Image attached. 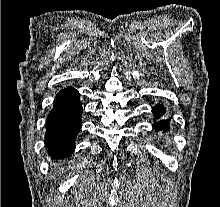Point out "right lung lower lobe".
Returning <instances> with one entry per match:
<instances>
[{
    "label": "right lung lower lobe",
    "instance_id": "right-lung-lower-lobe-1",
    "mask_svg": "<svg viewBox=\"0 0 220 207\" xmlns=\"http://www.w3.org/2000/svg\"><path fill=\"white\" fill-rule=\"evenodd\" d=\"M80 94L73 87L62 89L56 96L46 122L45 143L53 159L70 156L81 129L82 104Z\"/></svg>",
    "mask_w": 220,
    "mask_h": 207
}]
</instances>
